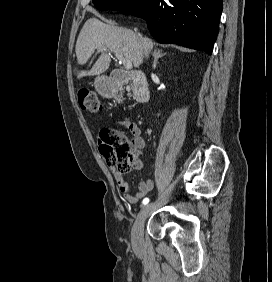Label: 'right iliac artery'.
<instances>
[{
    "label": "right iliac artery",
    "instance_id": "right-iliac-artery-1",
    "mask_svg": "<svg viewBox=\"0 0 272 282\" xmlns=\"http://www.w3.org/2000/svg\"><path fill=\"white\" fill-rule=\"evenodd\" d=\"M149 202V198H144L142 204L146 205Z\"/></svg>",
    "mask_w": 272,
    "mask_h": 282
}]
</instances>
